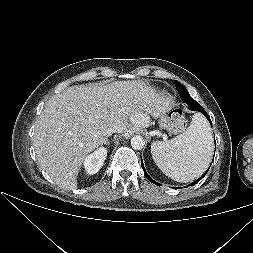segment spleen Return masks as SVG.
Returning <instances> with one entry per match:
<instances>
[{
  "instance_id": "obj_1",
  "label": "spleen",
  "mask_w": 253,
  "mask_h": 253,
  "mask_svg": "<svg viewBox=\"0 0 253 253\" xmlns=\"http://www.w3.org/2000/svg\"><path fill=\"white\" fill-rule=\"evenodd\" d=\"M158 168L178 182H189L208 168L213 154L211 128L201 114H194L191 124L179 136L151 145Z\"/></svg>"
}]
</instances>
